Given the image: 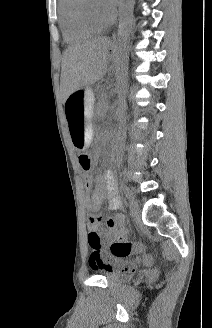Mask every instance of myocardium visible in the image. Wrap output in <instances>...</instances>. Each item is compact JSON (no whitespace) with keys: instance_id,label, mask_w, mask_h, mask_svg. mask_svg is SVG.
<instances>
[{"instance_id":"1","label":"myocardium","mask_w":212,"mask_h":328,"mask_svg":"<svg viewBox=\"0 0 212 328\" xmlns=\"http://www.w3.org/2000/svg\"><path fill=\"white\" fill-rule=\"evenodd\" d=\"M92 0H82L80 7V14L82 19L90 26L97 29H105L109 27L115 20V12L112 11L111 16L107 20H102L99 18L92 10L91 7Z\"/></svg>"}]
</instances>
